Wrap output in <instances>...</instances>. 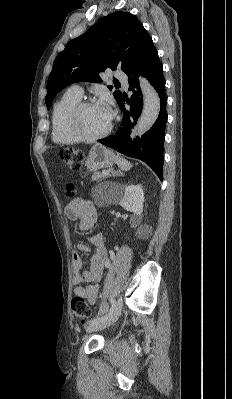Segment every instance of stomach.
<instances>
[{
    "label": "stomach",
    "instance_id": "obj_1",
    "mask_svg": "<svg viewBox=\"0 0 232 399\" xmlns=\"http://www.w3.org/2000/svg\"><path fill=\"white\" fill-rule=\"evenodd\" d=\"M115 162L116 158L111 150H107L101 144H95L88 154L85 166L89 172H96L101 168H111Z\"/></svg>",
    "mask_w": 232,
    "mask_h": 399
}]
</instances>
